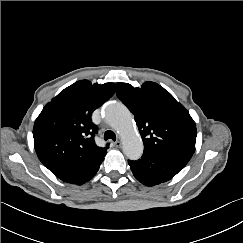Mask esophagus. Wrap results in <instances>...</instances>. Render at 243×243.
<instances>
[{"label": "esophagus", "mask_w": 243, "mask_h": 243, "mask_svg": "<svg viewBox=\"0 0 243 243\" xmlns=\"http://www.w3.org/2000/svg\"><path fill=\"white\" fill-rule=\"evenodd\" d=\"M114 146L117 148L121 147V142L120 141L114 142Z\"/></svg>", "instance_id": "34e87169"}]
</instances>
